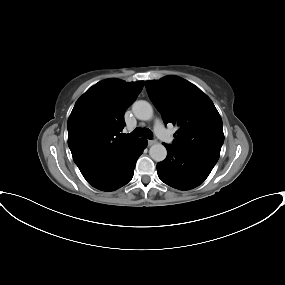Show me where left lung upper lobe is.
I'll return each instance as SVG.
<instances>
[{
  "instance_id": "obj_1",
  "label": "left lung upper lobe",
  "mask_w": 285,
  "mask_h": 285,
  "mask_svg": "<svg viewBox=\"0 0 285 285\" xmlns=\"http://www.w3.org/2000/svg\"><path fill=\"white\" fill-rule=\"evenodd\" d=\"M145 86L164 123L179 127L172 146L218 161L224 134L210 98L178 76L146 81Z\"/></svg>"
}]
</instances>
